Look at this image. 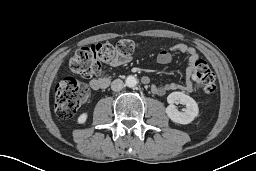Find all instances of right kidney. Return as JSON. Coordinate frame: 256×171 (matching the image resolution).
I'll return each instance as SVG.
<instances>
[{"label":"right kidney","mask_w":256,"mask_h":171,"mask_svg":"<svg viewBox=\"0 0 256 171\" xmlns=\"http://www.w3.org/2000/svg\"><path fill=\"white\" fill-rule=\"evenodd\" d=\"M88 118V114L87 113H82L79 117H78V123L79 124H84L87 121Z\"/></svg>","instance_id":"right-kidney-1"}]
</instances>
